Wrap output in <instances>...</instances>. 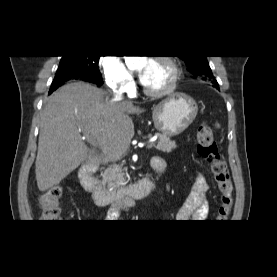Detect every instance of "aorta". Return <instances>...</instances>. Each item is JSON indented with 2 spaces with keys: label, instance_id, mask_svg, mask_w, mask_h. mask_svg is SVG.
<instances>
[{
  "label": "aorta",
  "instance_id": "aorta-1",
  "mask_svg": "<svg viewBox=\"0 0 277 277\" xmlns=\"http://www.w3.org/2000/svg\"><path fill=\"white\" fill-rule=\"evenodd\" d=\"M141 56H125V62L129 67L140 64Z\"/></svg>",
  "mask_w": 277,
  "mask_h": 277
}]
</instances>
